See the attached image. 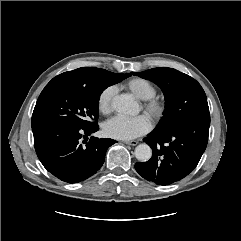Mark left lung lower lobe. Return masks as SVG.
Wrapping results in <instances>:
<instances>
[{"label": "left lung lower lobe", "mask_w": 241, "mask_h": 241, "mask_svg": "<svg viewBox=\"0 0 241 241\" xmlns=\"http://www.w3.org/2000/svg\"><path fill=\"white\" fill-rule=\"evenodd\" d=\"M210 119H199L167 132L153 130L144 141L152 148L149 161L136 171L158 185L177 182L197 166L208 142Z\"/></svg>", "instance_id": "obj_1"}]
</instances>
